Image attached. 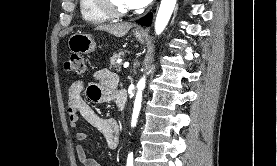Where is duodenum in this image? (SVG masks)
<instances>
[{
  "mask_svg": "<svg viewBox=\"0 0 277 166\" xmlns=\"http://www.w3.org/2000/svg\"><path fill=\"white\" fill-rule=\"evenodd\" d=\"M117 104L120 110L124 109L125 103H126V96L123 92L119 93L117 95Z\"/></svg>",
  "mask_w": 277,
  "mask_h": 166,
  "instance_id": "obj_1",
  "label": "duodenum"
}]
</instances>
